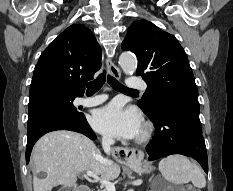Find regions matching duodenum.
Returning <instances> with one entry per match:
<instances>
[{
    "mask_svg": "<svg viewBox=\"0 0 233 191\" xmlns=\"http://www.w3.org/2000/svg\"><path fill=\"white\" fill-rule=\"evenodd\" d=\"M79 191H86L85 189H83V188H81V189H79Z\"/></svg>",
    "mask_w": 233,
    "mask_h": 191,
    "instance_id": "410a0bca",
    "label": "duodenum"
}]
</instances>
